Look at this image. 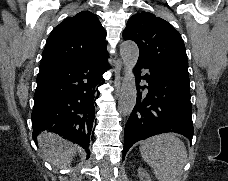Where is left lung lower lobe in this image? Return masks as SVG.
I'll return each instance as SVG.
<instances>
[{
	"instance_id": "left-lung-lower-lobe-1",
	"label": "left lung lower lobe",
	"mask_w": 228,
	"mask_h": 181,
	"mask_svg": "<svg viewBox=\"0 0 228 181\" xmlns=\"http://www.w3.org/2000/svg\"><path fill=\"white\" fill-rule=\"evenodd\" d=\"M142 68L148 72L140 77ZM135 74L136 84L145 79L148 85L137 89L136 105L125 126L123 159L135 142L157 134L175 132L191 142L194 129L188 73L138 59Z\"/></svg>"
}]
</instances>
